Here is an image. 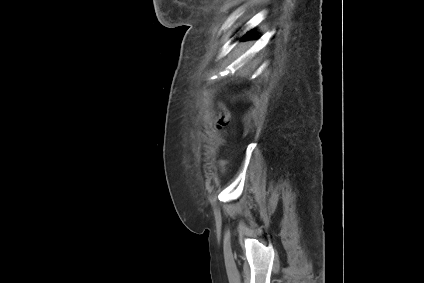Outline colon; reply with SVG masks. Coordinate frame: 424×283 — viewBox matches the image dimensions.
Instances as JSON below:
<instances>
[{
    "instance_id": "obj_1",
    "label": "colon",
    "mask_w": 424,
    "mask_h": 283,
    "mask_svg": "<svg viewBox=\"0 0 424 283\" xmlns=\"http://www.w3.org/2000/svg\"><path fill=\"white\" fill-rule=\"evenodd\" d=\"M229 123V117L227 113L224 110H220L217 113V128L223 129L225 128Z\"/></svg>"
}]
</instances>
